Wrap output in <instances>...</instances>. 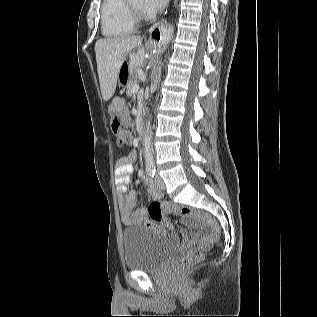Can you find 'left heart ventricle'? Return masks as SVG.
Listing matches in <instances>:
<instances>
[{
    "mask_svg": "<svg viewBox=\"0 0 317 317\" xmlns=\"http://www.w3.org/2000/svg\"><path fill=\"white\" fill-rule=\"evenodd\" d=\"M131 3L134 7L143 10V0H132Z\"/></svg>",
    "mask_w": 317,
    "mask_h": 317,
    "instance_id": "b2bd125f",
    "label": "left heart ventricle"
}]
</instances>
